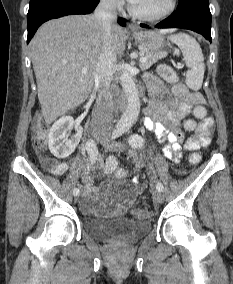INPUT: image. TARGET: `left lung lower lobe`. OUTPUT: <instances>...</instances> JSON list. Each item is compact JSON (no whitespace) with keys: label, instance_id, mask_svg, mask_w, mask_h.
Listing matches in <instances>:
<instances>
[{"label":"left lung lower lobe","instance_id":"1","mask_svg":"<svg viewBox=\"0 0 233 284\" xmlns=\"http://www.w3.org/2000/svg\"><path fill=\"white\" fill-rule=\"evenodd\" d=\"M148 28V25L140 24ZM156 28H184L202 34L211 41L209 0H180L176 11L158 23Z\"/></svg>","mask_w":233,"mask_h":284}]
</instances>
